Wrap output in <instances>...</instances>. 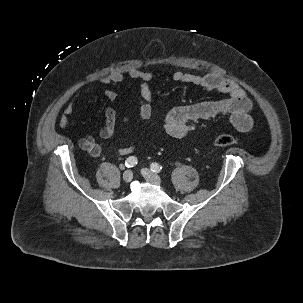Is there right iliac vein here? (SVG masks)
<instances>
[{"mask_svg":"<svg viewBox=\"0 0 303 303\" xmlns=\"http://www.w3.org/2000/svg\"><path fill=\"white\" fill-rule=\"evenodd\" d=\"M124 182L129 183L133 179V173L130 170H126L122 176Z\"/></svg>","mask_w":303,"mask_h":303,"instance_id":"63e3f726","label":"right iliac vein"}]
</instances>
